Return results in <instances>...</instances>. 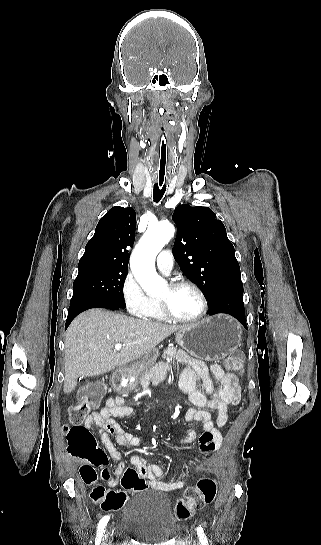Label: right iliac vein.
I'll list each match as a JSON object with an SVG mask.
<instances>
[{
  "label": "right iliac vein",
  "mask_w": 321,
  "mask_h": 545,
  "mask_svg": "<svg viewBox=\"0 0 321 545\" xmlns=\"http://www.w3.org/2000/svg\"><path fill=\"white\" fill-rule=\"evenodd\" d=\"M105 539H108V533L105 534Z\"/></svg>",
  "instance_id": "1"
}]
</instances>
